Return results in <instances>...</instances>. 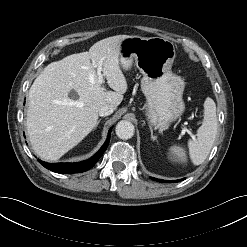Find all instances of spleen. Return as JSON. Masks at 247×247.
Here are the masks:
<instances>
[{
    "instance_id": "1",
    "label": "spleen",
    "mask_w": 247,
    "mask_h": 247,
    "mask_svg": "<svg viewBox=\"0 0 247 247\" xmlns=\"http://www.w3.org/2000/svg\"><path fill=\"white\" fill-rule=\"evenodd\" d=\"M217 129L216 104L211 98H207L204 102V119L197 130V139L188 141L189 155L194 165L202 164L209 155L217 135ZM170 151L180 161H186L185 152L181 147L172 146Z\"/></svg>"
}]
</instances>
